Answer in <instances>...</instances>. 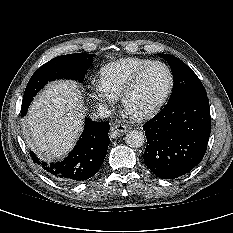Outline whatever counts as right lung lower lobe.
<instances>
[{
  "label": "right lung lower lobe",
  "instance_id": "98d812e1",
  "mask_svg": "<svg viewBox=\"0 0 233 233\" xmlns=\"http://www.w3.org/2000/svg\"><path fill=\"white\" fill-rule=\"evenodd\" d=\"M28 106L22 103L21 116L26 114ZM108 131V122H92L86 118L85 128L77 145L63 161L41 163L33 152H30V155L34 163L41 165L44 171L57 181H83L95 175L103 164L110 143Z\"/></svg>",
  "mask_w": 233,
  "mask_h": 233
}]
</instances>
